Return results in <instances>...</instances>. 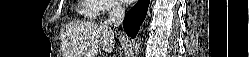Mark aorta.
I'll return each instance as SVG.
<instances>
[{
	"instance_id": "1",
	"label": "aorta",
	"mask_w": 249,
	"mask_h": 57,
	"mask_svg": "<svg viewBox=\"0 0 249 57\" xmlns=\"http://www.w3.org/2000/svg\"><path fill=\"white\" fill-rule=\"evenodd\" d=\"M142 38L141 36H137L134 41H133V51H132V56H137L140 50V46L142 43Z\"/></svg>"
}]
</instances>
